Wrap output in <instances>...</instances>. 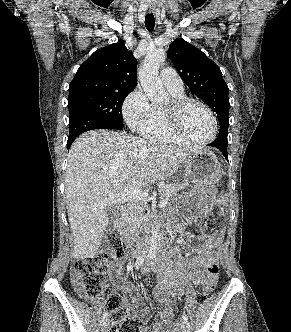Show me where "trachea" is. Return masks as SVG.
<instances>
[{"instance_id":"1","label":"trachea","mask_w":291,"mask_h":332,"mask_svg":"<svg viewBox=\"0 0 291 332\" xmlns=\"http://www.w3.org/2000/svg\"><path fill=\"white\" fill-rule=\"evenodd\" d=\"M145 26L148 31H152L154 29L155 19H154V15L152 13L146 15Z\"/></svg>"}]
</instances>
